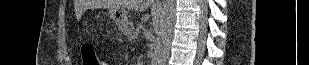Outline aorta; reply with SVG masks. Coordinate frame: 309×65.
<instances>
[{
	"instance_id": "1",
	"label": "aorta",
	"mask_w": 309,
	"mask_h": 65,
	"mask_svg": "<svg viewBox=\"0 0 309 65\" xmlns=\"http://www.w3.org/2000/svg\"><path fill=\"white\" fill-rule=\"evenodd\" d=\"M175 26V0H163L156 20L157 43L151 65H165L169 56Z\"/></svg>"
}]
</instances>
